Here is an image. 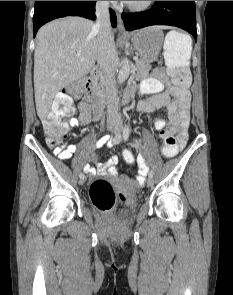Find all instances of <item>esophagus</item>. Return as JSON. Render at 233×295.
Instances as JSON below:
<instances>
[{
    "label": "esophagus",
    "mask_w": 233,
    "mask_h": 295,
    "mask_svg": "<svg viewBox=\"0 0 233 295\" xmlns=\"http://www.w3.org/2000/svg\"><path fill=\"white\" fill-rule=\"evenodd\" d=\"M116 16H117V29H118V31L125 32V27H124V24H123L121 14L117 13Z\"/></svg>",
    "instance_id": "obj_1"
}]
</instances>
